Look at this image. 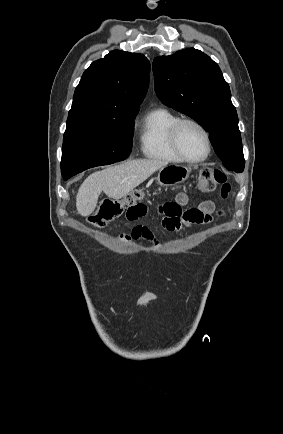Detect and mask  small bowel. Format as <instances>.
<instances>
[{
	"label": "small bowel",
	"mask_w": 283,
	"mask_h": 434,
	"mask_svg": "<svg viewBox=\"0 0 283 434\" xmlns=\"http://www.w3.org/2000/svg\"><path fill=\"white\" fill-rule=\"evenodd\" d=\"M190 199L186 193H179L174 200L161 203L158 207L163 215L162 225L168 231H179L184 226L193 224H205L211 221L214 210L213 203L201 201L186 210ZM148 206L139 201L127 209L126 218L129 221H137L147 215ZM123 240L146 239L156 242L152 232L145 226H136L130 234L121 235Z\"/></svg>",
	"instance_id": "1"
}]
</instances>
